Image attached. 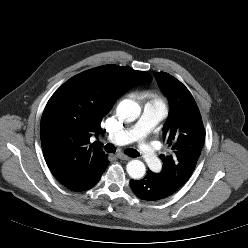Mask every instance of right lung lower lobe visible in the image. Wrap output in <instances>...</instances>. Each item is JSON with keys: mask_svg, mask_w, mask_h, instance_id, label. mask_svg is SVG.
<instances>
[{"mask_svg": "<svg viewBox=\"0 0 248 248\" xmlns=\"http://www.w3.org/2000/svg\"><path fill=\"white\" fill-rule=\"evenodd\" d=\"M108 163L109 161L105 157L100 165L85 170L82 173L81 178L67 188L75 192H82L92 188L100 180L101 175L105 171Z\"/></svg>", "mask_w": 248, "mask_h": 248, "instance_id": "right-lung-lower-lobe-1", "label": "right lung lower lobe"}]
</instances>
